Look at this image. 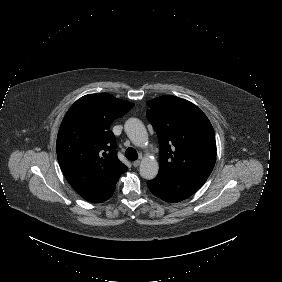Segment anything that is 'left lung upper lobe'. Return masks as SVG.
<instances>
[{
  "mask_svg": "<svg viewBox=\"0 0 282 282\" xmlns=\"http://www.w3.org/2000/svg\"><path fill=\"white\" fill-rule=\"evenodd\" d=\"M147 118L160 143L159 171L209 176L216 160L215 134L193 103L171 95L147 102Z\"/></svg>",
  "mask_w": 282,
  "mask_h": 282,
  "instance_id": "obj_1",
  "label": "left lung upper lobe"
}]
</instances>
